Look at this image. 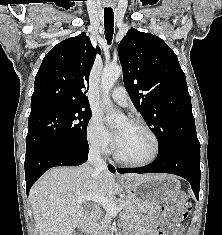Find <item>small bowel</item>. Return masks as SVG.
Returning <instances> with one entry per match:
<instances>
[{
    "instance_id": "c3829d8e",
    "label": "small bowel",
    "mask_w": 222,
    "mask_h": 235,
    "mask_svg": "<svg viewBox=\"0 0 222 235\" xmlns=\"http://www.w3.org/2000/svg\"><path fill=\"white\" fill-rule=\"evenodd\" d=\"M157 223H158V216L156 213H152L149 216V219L147 222V230H141L136 235H156Z\"/></svg>"
}]
</instances>
